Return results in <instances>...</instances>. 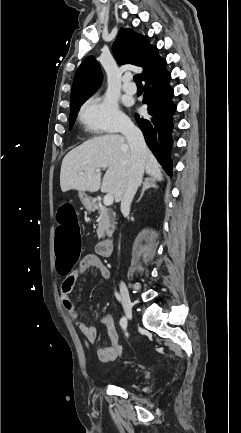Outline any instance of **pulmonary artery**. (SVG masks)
I'll use <instances>...</instances> for the list:
<instances>
[{
  "instance_id": "1",
  "label": "pulmonary artery",
  "mask_w": 241,
  "mask_h": 433,
  "mask_svg": "<svg viewBox=\"0 0 241 433\" xmlns=\"http://www.w3.org/2000/svg\"><path fill=\"white\" fill-rule=\"evenodd\" d=\"M123 90L126 93L134 94L136 92V86L130 82L129 76H126L123 81Z\"/></svg>"
}]
</instances>
